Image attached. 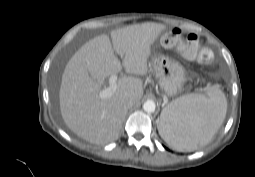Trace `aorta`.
<instances>
[{"label": "aorta", "instance_id": "762f6f07", "mask_svg": "<svg viewBox=\"0 0 255 177\" xmlns=\"http://www.w3.org/2000/svg\"><path fill=\"white\" fill-rule=\"evenodd\" d=\"M156 109V104L154 101L152 100H147L144 104H143V110L147 113H153Z\"/></svg>", "mask_w": 255, "mask_h": 177}]
</instances>
